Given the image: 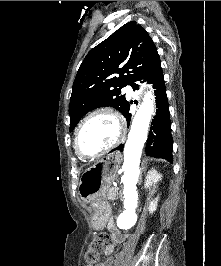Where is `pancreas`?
<instances>
[{"label": "pancreas", "instance_id": "pancreas-1", "mask_svg": "<svg viewBox=\"0 0 221 266\" xmlns=\"http://www.w3.org/2000/svg\"><path fill=\"white\" fill-rule=\"evenodd\" d=\"M119 189L117 187L109 188L107 192V198L110 200H116L118 197Z\"/></svg>", "mask_w": 221, "mask_h": 266}]
</instances>
